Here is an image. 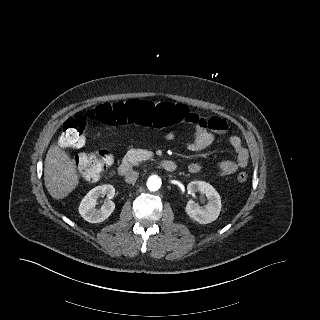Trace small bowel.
<instances>
[{"label":"small bowel","instance_id":"1","mask_svg":"<svg viewBox=\"0 0 320 320\" xmlns=\"http://www.w3.org/2000/svg\"><path fill=\"white\" fill-rule=\"evenodd\" d=\"M184 118L182 122L189 123L194 127L193 139L187 143V149L191 152H200L210 147L215 141L216 134L224 133L227 129L226 122L219 117H211L209 119L201 117L199 114L189 111L184 107ZM167 139L175 138L174 133H168ZM229 144L232 147L236 158L234 160H224L219 163V172L221 175H230L238 169L247 166L249 154L242 143L240 137L234 135L229 138ZM201 165L198 163H190L188 171L191 174L200 172Z\"/></svg>","mask_w":320,"mask_h":320}]
</instances>
